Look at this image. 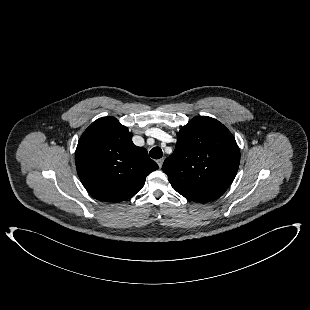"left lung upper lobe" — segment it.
Returning a JSON list of instances; mask_svg holds the SVG:
<instances>
[{
    "label": "left lung upper lobe",
    "instance_id": "5c2ea615",
    "mask_svg": "<svg viewBox=\"0 0 310 310\" xmlns=\"http://www.w3.org/2000/svg\"><path fill=\"white\" fill-rule=\"evenodd\" d=\"M177 138L173 154L162 165L172 187L191 201L216 200L229 188L239 167L235 138L207 116L193 118Z\"/></svg>",
    "mask_w": 310,
    "mask_h": 310
}]
</instances>
